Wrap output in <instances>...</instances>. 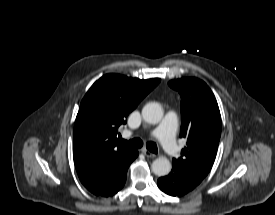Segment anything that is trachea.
<instances>
[{
	"instance_id": "3493384b",
	"label": "trachea",
	"mask_w": 275,
	"mask_h": 215,
	"mask_svg": "<svg viewBox=\"0 0 275 215\" xmlns=\"http://www.w3.org/2000/svg\"><path fill=\"white\" fill-rule=\"evenodd\" d=\"M123 142L127 146L132 147V148H141L143 146V142L139 138H134V139L129 140V141L123 140ZM146 148L152 153L156 154L158 152L157 146L154 142H148L146 144Z\"/></svg>"
}]
</instances>
